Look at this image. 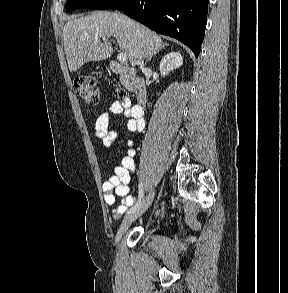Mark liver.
<instances>
[{
    "label": "liver",
    "instance_id": "liver-1",
    "mask_svg": "<svg viewBox=\"0 0 288 293\" xmlns=\"http://www.w3.org/2000/svg\"><path fill=\"white\" fill-rule=\"evenodd\" d=\"M114 37L127 55L132 67L139 57L148 58L163 47L159 35L128 17L108 11H96L87 16L71 18L63 29V42L68 67L78 70L89 61L108 59L113 48L101 39Z\"/></svg>",
    "mask_w": 288,
    "mask_h": 293
}]
</instances>
